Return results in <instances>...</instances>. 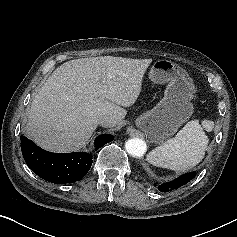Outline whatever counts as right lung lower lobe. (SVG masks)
<instances>
[{"label":"right lung lower lobe","mask_w":237,"mask_h":237,"mask_svg":"<svg viewBox=\"0 0 237 237\" xmlns=\"http://www.w3.org/2000/svg\"><path fill=\"white\" fill-rule=\"evenodd\" d=\"M113 140L104 134L96 138V150ZM21 150L28 167L42 179L56 184L72 183L82 179L92 165V155L88 153H51L21 136Z\"/></svg>","instance_id":"1"}]
</instances>
